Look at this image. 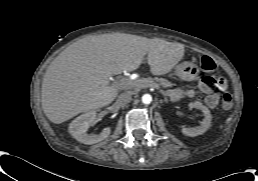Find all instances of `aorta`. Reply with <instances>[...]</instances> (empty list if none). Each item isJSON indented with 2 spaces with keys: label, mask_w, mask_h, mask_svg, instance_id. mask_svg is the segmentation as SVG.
I'll return each instance as SVG.
<instances>
[{
  "label": "aorta",
  "mask_w": 258,
  "mask_h": 181,
  "mask_svg": "<svg viewBox=\"0 0 258 181\" xmlns=\"http://www.w3.org/2000/svg\"><path fill=\"white\" fill-rule=\"evenodd\" d=\"M142 102L144 104H150L152 102V96L150 94H144L142 96Z\"/></svg>",
  "instance_id": "1"
}]
</instances>
